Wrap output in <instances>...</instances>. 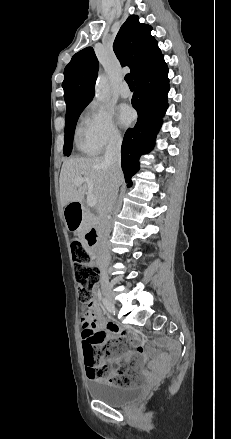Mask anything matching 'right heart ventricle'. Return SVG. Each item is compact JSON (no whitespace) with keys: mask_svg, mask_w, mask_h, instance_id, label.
<instances>
[{"mask_svg":"<svg viewBox=\"0 0 231 439\" xmlns=\"http://www.w3.org/2000/svg\"><path fill=\"white\" fill-rule=\"evenodd\" d=\"M77 146L78 148L85 153H96L94 148L87 143L83 136V128H79L77 132Z\"/></svg>","mask_w":231,"mask_h":439,"instance_id":"1","label":"right heart ventricle"}]
</instances>
